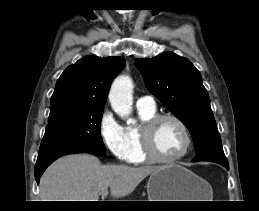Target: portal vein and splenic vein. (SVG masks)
Segmentation results:
<instances>
[{
    "instance_id": "1",
    "label": "portal vein and splenic vein",
    "mask_w": 259,
    "mask_h": 211,
    "mask_svg": "<svg viewBox=\"0 0 259 211\" xmlns=\"http://www.w3.org/2000/svg\"><path fill=\"white\" fill-rule=\"evenodd\" d=\"M107 194H108V191H107V190H103V191L100 192V195H101L102 198H104L105 196H107Z\"/></svg>"
}]
</instances>
